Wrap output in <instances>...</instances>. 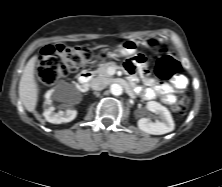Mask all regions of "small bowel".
I'll use <instances>...</instances> for the list:
<instances>
[{"label": "small bowel", "mask_w": 222, "mask_h": 187, "mask_svg": "<svg viewBox=\"0 0 222 187\" xmlns=\"http://www.w3.org/2000/svg\"><path fill=\"white\" fill-rule=\"evenodd\" d=\"M126 67L129 73L133 74L134 64L131 61L127 63ZM146 82L152 84L153 80L151 78H146ZM172 85L173 86L168 83H158L154 88L145 89L143 97L146 100H152L159 97L164 104L172 105L177 100L176 92L182 91L187 87V78L183 75H176L172 81Z\"/></svg>", "instance_id": "obj_1"}]
</instances>
